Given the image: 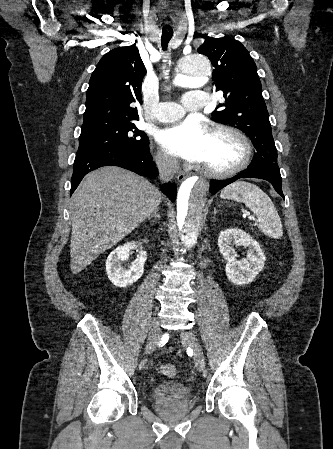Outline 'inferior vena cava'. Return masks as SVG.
I'll list each match as a JSON object with an SVG mask.
<instances>
[{
    "label": "inferior vena cava",
    "instance_id": "inferior-vena-cava-1",
    "mask_svg": "<svg viewBox=\"0 0 333 449\" xmlns=\"http://www.w3.org/2000/svg\"><path fill=\"white\" fill-rule=\"evenodd\" d=\"M160 179L170 181L179 169L178 160L169 155H160L156 158Z\"/></svg>",
    "mask_w": 333,
    "mask_h": 449
}]
</instances>
